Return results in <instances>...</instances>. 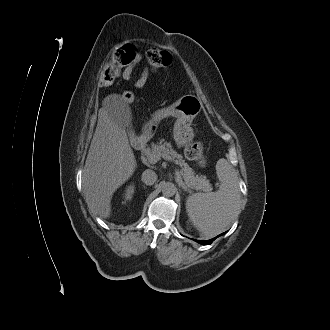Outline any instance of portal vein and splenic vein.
<instances>
[{
  "mask_svg": "<svg viewBox=\"0 0 330 330\" xmlns=\"http://www.w3.org/2000/svg\"><path fill=\"white\" fill-rule=\"evenodd\" d=\"M159 159H160V158H158L157 156H155V155H153V154H150V155L148 156V162H149L150 164H155L157 161H159ZM176 176H177V177H176V178H177V181H180L181 177H180L179 172H177V171H176ZM183 188H184L185 191L191 193V190H190V189H187V187L184 186Z\"/></svg>",
  "mask_w": 330,
  "mask_h": 330,
  "instance_id": "portal-vein-and-splenic-vein-1",
  "label": "portal vein and splenic vein"
}]
</instances>
